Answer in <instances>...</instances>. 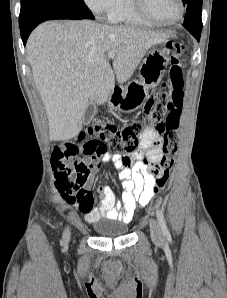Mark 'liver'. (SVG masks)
Here are the masks:
<instances>
[{
	"label": "liver",
	"mask_w": 227,
	"mask_h": 298,
	"mask_svg": "<svg viewBox=\"0 0 227 298\" xmlns=\"http://www.w3.org/2000/svg\"><path fill=\"white\" fill-rule=\"evenodd\" d=\"M169 34L91 20L47 21L29 36L26 52L43 100L52 141L69 140L82 129L89 101L104 104L129 80L145 53ZM114 51L112 67L106 53Z\"/></svg>",
	"instance_id": "1"
}]
</instances>
